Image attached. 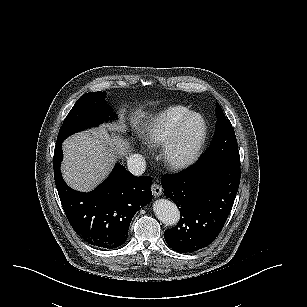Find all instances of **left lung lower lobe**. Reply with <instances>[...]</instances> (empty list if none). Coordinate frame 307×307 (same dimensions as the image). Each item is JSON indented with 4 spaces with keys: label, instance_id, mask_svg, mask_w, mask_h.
<instances>
[{
    "label": "left lung lower lobe",
    "instance_id": "left-lung-lower-lobe-1",
    "mask_svg": "<svg viewBox=\"0 0 307 307\" xmlns=\"http://www.w3.org/2000/svg\"><path fill=\"white\" fill-rule=\"evenodd\" d=\"M240 183V164L197 162L161 179L164 195L177 205L179 223L165 230L167 244L179 253L195 252L211 244L221 232Z\"/></svg>",
    "mask_w": 307,
    "mask_h": 307
}]
</instances>
